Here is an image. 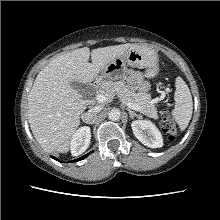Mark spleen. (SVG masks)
Here are the masks:
<instances>
[{
	"label": "spleen",
	"instance_id": "1",
	"mask_svg": "<svg viewBox=\"0 0 220 220\" xmlns=\"http://www.w3.org/2000/svg\"><path fill=\"white\" fill-rule=\"evenodd\" d=\"M174 94L175 108L172 116L183 131L188 126L193 112V102L190 90L181 77L176 78Z\"/></svg>",
	"mask_w": 220,
	"mask_h": 220
}]
</instances>
